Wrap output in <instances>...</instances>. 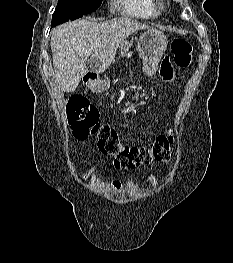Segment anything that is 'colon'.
<instances>
[{"instance_id":"obj_1","label":"colon","mask_w":233,"mask_h":263,"mask_svg":"<svg viewBox=\"0 0 233 263\" xmlns=\"http://www.w3.org/2000/svg\"><path fill=\"white\" fill-rule=\"evenodd\" d=\"M172 52L178 67L189 66L192 61V45L187 40L175 39L172 42ZM66 114L74 136L79 140L95 139L100 151L112 156L119 169H131L154 160H166L174 143L173 135L168 133L158 136L149 147L123 144L113 127L99 122L97 108L83 97L73 98L67 106Z\"/></svg>"}]
</instances>
